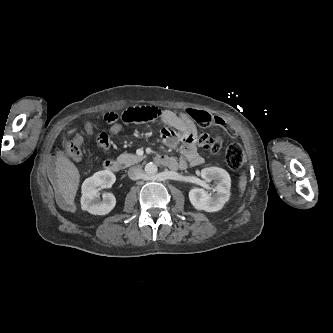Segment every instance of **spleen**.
Masks as SVG:
<instances>
[{
    "mask_svg": "<svg viewBox=\"0 0 333 333\" xmlns=\"http://www.w3.org/2000/svg\"><path fill=\"white\" fill-rule=\"evenodd\" d=\"M246 184H247V179H246V176L245 174L243 173L240 177V181H239V188H240V191L243 192L246 188Z\"/></svg>",
    "mask_w": 333,
    "mask_h": 333,
    "instance_id": "spleen-1",
    "label": "spleen"
}]
</instances>
